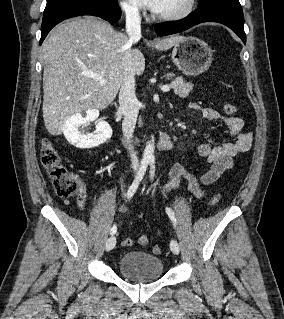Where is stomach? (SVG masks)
I'll return each mask as SVG.
<instances>
[{
	"instance_id": "stomach-1",
	"label": "stomach",
	"mask_w": 284,
	"mask_h": 319,
	"mask_svg": "<svg viewBox=\"0 0 284 319\" xmlns=\"http://www.w3.org/2000/svg\"><path fill=\"white\" fill-rule=\"evenodd\" d=\"M173 63L187 75L197 76L206 71L212 63L213 51L197 37H182L173 46Z\"/></svg>"
}]
</instances>
